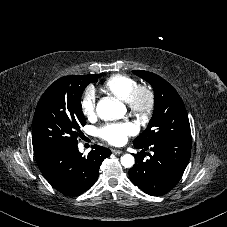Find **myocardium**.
<instances>
[{
  "label": "myocardium",
  "instance_id": "obj_1",
  "mask_svg": "<svg viewBox=\"0 0 227 227\" xmlns=\"http://www.w3.org/2000/svg\"><path fill=\"white\" fill-rule=\"evenodd\" d=\"M123 104L135 119L144 121L154 110L155 95L149 86L137 85Z\"/></svg>",
  "mask_w": 227,
  "mask_h": 227
}]
</instances>
